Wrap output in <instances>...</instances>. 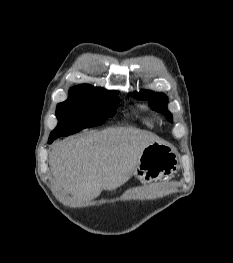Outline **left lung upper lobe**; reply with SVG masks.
Here are the masks:
<instances>
[{
	"instance_id": "obj_1",
	"label": "left lung upper lobe",
	"mask_w": 233,
	"mask_h": 263,
	"mask_svg": "<svg viewBox=\"0 0 233 263\" xmlns=\"http://www.w3.org/2000/svg\"><path fill=\"white\" fill-rule=\"evenodd\" d=\"M130 95L139 100L150 99V106L154 110L167 115L169 121L172 122V115L167 109L168 99L166 95L160 93H154L153 91H149V90H142L139 93L133 92L130 93Z\"/></svg>"
}]
</instances>
